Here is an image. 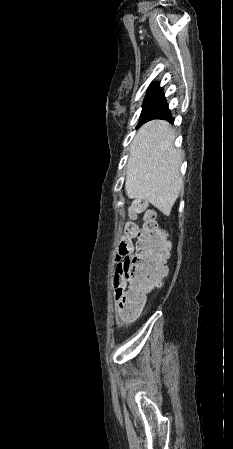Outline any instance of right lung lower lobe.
<instances>
[{"mask_svg":"<svg viewBox=\"0 0 233 449\" xmlns=\"http://www.w3.org/2000/svg\"><path fill=\"white\" fill-rule=\"evenodd\" d=\"M152 119H163V120H167V121H169V122H171V123H173V121H174V119H173L172 116H171V113H170L169 109H167V110H165V111H163V112H161V113L155 115V116L152 117L150 120H152ZM148 121H149V120H148ZM146 122H147V121H146Z\"/></svg>","mask_w":233,"mask_h":449,"instance_id":"98d812e1","label":"right lung lower lobe"}]
</instances>
